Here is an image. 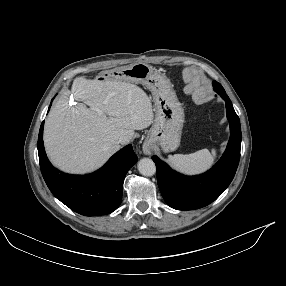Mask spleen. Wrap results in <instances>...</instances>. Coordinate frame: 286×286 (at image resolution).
I'll return each instance as SVG.
<instances>
[{"label":"spleen","mask_w":286,"mask_h":286,"mask_svg":"<svg viewBox=\"0 0 286 286\" xmlns=\"http://www.w3.org/2000/svg\"><path fill=\"white\" fill-rule=\"evenodd\" d=\"M216 150L202 149L191 154H174L168 156L170 165L186 174H197L209 169L215 159Z\"/></svg>","instance_id":"spleen-1"}]
</instances>
